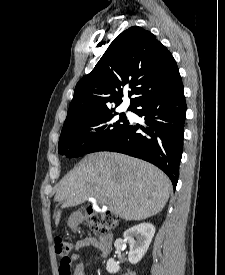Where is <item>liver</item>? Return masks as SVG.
<instances>
[{"instance_id": "obj_1", "label": "liver", "mask_w": 225, "mask_h": 275, "mask_svg": "<svg viewBox=\"0 0 225 275\" xmlns=\"http://www.w3.org/2000/svg\"><path fill=\"white\" fill-rule=\"evenodd\" d=\"M171 182L156 166L114 152L85 156L59 183L54 200L63 207L79 205L90 198L127 221H140L162 211ZM61 210L55 215L59 224Z\"/></svg>"}]
</instances>
